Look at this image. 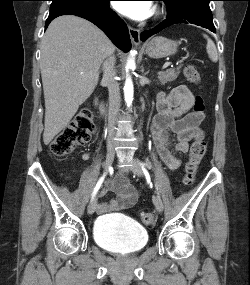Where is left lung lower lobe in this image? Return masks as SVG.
<instances>
[{
    "instance_id": "obj_1",
    "label": "left lung lower lobe",
    "mask_w": 250,
    "mask_h": 285,
    "mask_svg": "<svg viewBox=\"0 0 250 285\" xmlns=\"http://www.w3.org/2000/svg\"><path fill=\"white\" fill-rule=\"evenodd\" d=\"M178 23L195 24V25L207 28L210 31L216 33V29H215V26L213 24L212 15L202 13V12H191V13H187V14H185L181 17H177V18L167 17V19L165 21H163L161 24H159L154 29L141 33L140 38L142 41H145L150 36L160 32L161 30L165 29L166 27L174 25V24H178Z\"/></svg>"
}]
</instances>
